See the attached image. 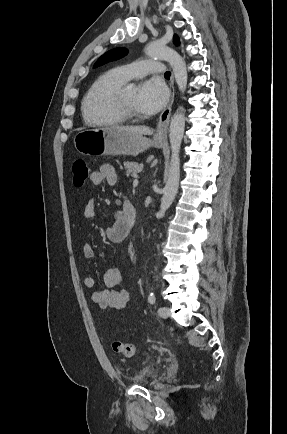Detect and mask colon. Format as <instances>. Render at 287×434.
Listing matches in <instances>:
<instances>
[{"label": "colon", "instance_id": "5ec220e1", "mask_svg": "<svg viewBox=\"0 0 287 434\" xmlns=\"http://www.w3.org/2000/svg\"><path fill=\"white\" fill-rule=\"evenodd\" d=\"M73 185L75 187H81L89 176V169L84 160L78 159L73 162ZM112 349L114 352L121 354L125 357H133L136 352V348L133 344L124 343L122 341H114L112 343Z\"/></svg>", "mask_w": 287, "mask_h": 434}]
</instances>
